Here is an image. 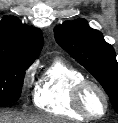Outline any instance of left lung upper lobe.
Instances as JSON below:
<instances>
[{
	"label": "left lung upper lobe",
	"mask_w": 118,
	"mask_h": 123,
	"mask_svg": "<svg viewBox=\"0 0 118 123\" xmlns=\"http://www.w3.org/2000/svg\"><path fill=\"white\" fill-rule=\"evenodd\" d=\"M54 34L57 43L101 83L118 113V63L102 33L77 19L57 26Z\"/></svg>",
	"instance_id": "obj_1"
}]
</instances>
